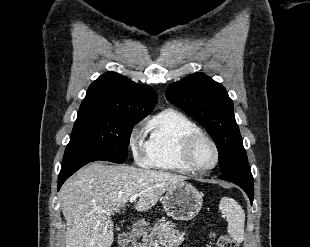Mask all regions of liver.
<instances>
[{
	"mask_svg": "<svg viewBox=\"0 0 310 247\" xmlns=\"http://www.w3.org/2000/svg\"><path fill=\"white\" fill-rule=\"evenodd\" d=\"M185 180L182 175L128 165L94 162L84 167L60 189L66 247H111V214L135 194H139L135 209L147 211L166 191ZM103 210L110 216L101 213Z\"/></svg>",
	"mask_w": 310,
	"mask_h": 247,
	"instance_id": "1",
	"label": "liver"
}]
</instances>
